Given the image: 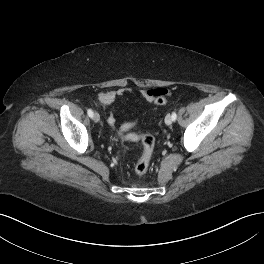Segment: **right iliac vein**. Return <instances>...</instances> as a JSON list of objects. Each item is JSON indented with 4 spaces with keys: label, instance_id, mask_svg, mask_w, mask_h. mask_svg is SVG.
Listing matches in <instances>:
<instances>
[{
    "label": "right iliac vein",
    "instance_id": "obj_1",
    "mask_svg": "<svg viewBox=\"0 0 264 264\" xmlns=\"http://www.w3.org/2000/svg\"><path fill=\"white\" fill-rule=\"evenodd\" d=\"M93 120L97 123L100 121V115L97 112L93 114Z\"/></svg>",
    "mask_w": 264,
    "mask_h": 264
}]
</instances>
